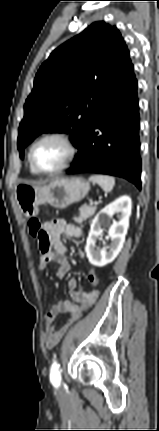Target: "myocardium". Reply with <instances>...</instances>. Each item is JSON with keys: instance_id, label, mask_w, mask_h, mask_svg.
<instances>
[{"instance_id": "1", "label": "myocardium", "mask_w": 159, "mask_h": 431, "mask_svg": "<svg viewBox=\"0 0 159 431\" xmlns=\"http://www.w3.org/2000/svg\"><path fill=\"white\" fill-rule=\"evenodd\" d=\"M50 139L58 140L66 146L67 152H68L67 157H66L65 161L59 167H57L53 170H48V171L41 170L35 165V163L33 161V151L39 143H41L45 140H50ZM77 152H78L77 146L69 134H67L65 132H50V133H46V134L42 135L41 137H39L38 139H36L32 143V145L30 146L29 152H28V161H29L30 167L37 174L52 175V174H57L59 172H62L63 170L68 168L70 166V164L74 161V159L77 155Z\"/></svg>"}]
</instances>
